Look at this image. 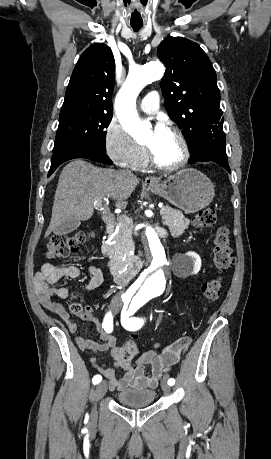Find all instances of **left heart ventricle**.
Segmentation results:
<instances>
[{
	"mask_svg": "<svg viewBox=\"0 0 271 459\" xmlns=\"http://www.w3.org/2000/svg\"><path fill=\"white\" fill-rule=\"evenodd\" d=\"M145 144L162 160H173L179 154V144L167 130L157 134L151 129L145 139Z\"/></svg>",
	"mask_w": 271,
	"mask_h": 459,
	"instance_id": "obj_1",
	"label": "left heart ventricle"
}]
</instances>
